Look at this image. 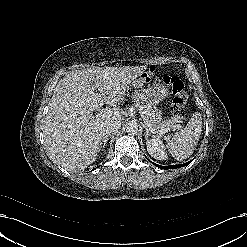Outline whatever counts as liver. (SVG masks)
Here are the masks:
<instances>
[{
    "label": "liver",
    "instance_id": "6515ba94",
    "mask_svg": "<svg viewBox=\"0 0 247 247\" xmlns=\"http://www.w3.org/2000/svg\"><path fill=\"white\" fill-rule=\"evenodd\" d=\"M145 70L146 66L92 67L63 77L55 87L43 124L51 161L73 172L95 162L104 125L110 120L121 121L123 112L113 108L107 117L91 113L104 104L122 102L132 80Z\"/></svg>",
    "mask_w": 247,
    "mask_h": 247
}]
</instances>
